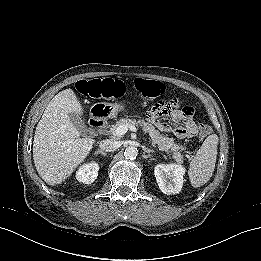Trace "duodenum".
I'll list each match as a JSON object with an SVG mask.
<instances>
[{"instance_id":"1","label":"duodenum","mask_w":261,"mask_h":261,"mask_svg":"<svg viewBox=\"0 0 261 261\" xmlns=\"http://www.w3.org/2000/svg\"><path fill=\"white\" fill-rule=\"evenodd\" d=\"M107 119V113L103 110H93L89 123L91 126L101 128Z\"/></svg>"}]
</instances>
